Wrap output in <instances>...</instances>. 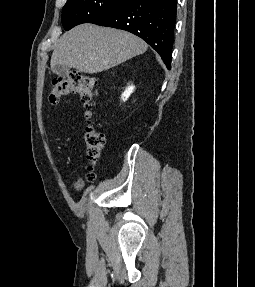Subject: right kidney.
Returning <instances> with one entry per match:
<instances>
[{
    "label": "right kidney",
    "instance_id": "1",
    "mask_svg": "<svg viewBox=\"0 0 255 287\" xmlns=\"http://www.w3.org/2000/svg\"><path fill=\"white\" fill-rule=\"evenodd\" d=\"M133 90H134V86H128V88H126L125 92H123V94L121 96L123 102H126L127 98H129V96H131Z\"/></svg>",
    "mask_w": 255,
    "mask_h": 287
}]
</instances>
